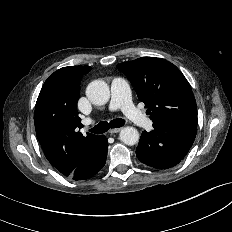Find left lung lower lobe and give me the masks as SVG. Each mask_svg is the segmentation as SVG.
Here are the masks:
<instances>
[{"instance_id":"0a47b994","label":"left lung lower lobe","mask_w":232,"mask_h":232,"mask_svg":"<svg viewBox=\"0 0 232 232\" xmlns=\"http://www.w3.org/2000/svg\"><path fill=\"white\" fill-rule=\"evenodd\" d=\"M153 127L151 132H142L136 148L137 158L155 169L176 166L192 146L197 128L174 124H153Z\"/></svg>"}]
</instances>
